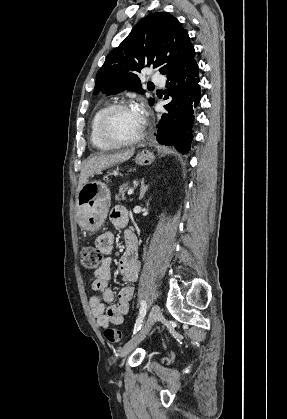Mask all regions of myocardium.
I'll return each mask as SVG.
<instances>
[{"instance_id":"obj_1","label":"myocardium","mask_w":287,"mask_h":419,"mask_svg":"<svg viewBox=\"0 0 287 419\" xmlns=\"http://www.w3.org/2000/svg\"><path fill=\"white\" fill-rule=\"evenodd\" d=\"M131 107L130 103L127 101H120L110 105L101 115L98 121V134L100 138L107 144L111 146H126L133 145L140 142L146 135V123L143 120L142 130L138 135L130 139H120L113 136L108 130V124L112 115L118 110Z\"/></svg>"}]
</instances>
